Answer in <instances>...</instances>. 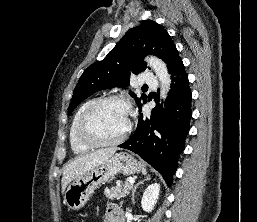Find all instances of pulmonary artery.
<instances>
[{"instance_id":"e3ab8cb5","label":"pulmonary artery","mask_w":257,"mask_h":222,"mask_svg":"<svg viewBox=\"0 0 257 222\" xmlns=\"http://www.w3.org/2000/svg\"><path fill=\"white\" fill-rule=\"evenodd\" d=\"M142 82L150 87H156L158 85L157 79L152 74L147 72L142 74Z\"/></svg>"}]
</instances>
